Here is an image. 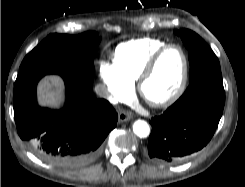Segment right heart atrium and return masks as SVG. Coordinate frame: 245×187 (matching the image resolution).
<instances>
[{
  "mask_svg": "<svg viewBox=\"0 0 245 187\" xmlns=\"http://www.w3.org/2000/svg\"><path fill=\"white\" fill-rule=\"evenodd\" d=\"M98 68L105 88V96L109 101L116 103L130 97L133 85L123 78L114 62L101 59Z\"/></svg>",
  "mask_w": 245,
  "mask_h": 187,
  "instance_id": "1",
  "label": "right heart atrium"
}]
</instances>
